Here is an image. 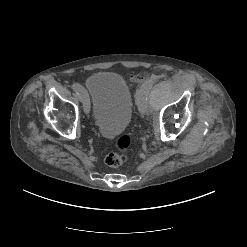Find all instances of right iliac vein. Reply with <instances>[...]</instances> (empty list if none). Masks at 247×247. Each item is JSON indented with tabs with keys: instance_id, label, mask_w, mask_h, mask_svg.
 I'll use <instances>...</instances> for the list:
<instances>
[{
	"instance_id": "right-iliac-vein-1",
	"label": "right iliac vein",
	"mask_w": 247,
	"mask_h": 247,
	"mask_svg": "<svg viewBox=\"0 0 247 247\" xmlns=\"http://www.w3.org/2000/svg\"><path fill=\"white\" fill-rule=\"evenodd\" d=\"M83 92H85V91H83ZM83 92H81V93H83ZM80 94V93H79ZM79 94H78V99L83 103V108H84V112L86 113V114H88L89 113V111H90V102H89V98H88V96L86 97V98H80L79 97Z\"/></svg>"
}]
</instances>
